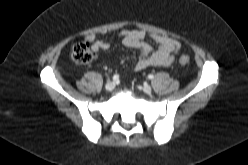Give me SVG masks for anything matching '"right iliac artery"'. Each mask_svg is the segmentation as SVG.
I'll list each match as a JSON object with an SVG mask.
<instances>
[{"mask_svg": "<svg viewBox=\"0 0 248 165\" xmlns=\"http://www.w3.org/2000/svg\"><path fill=\"white\" fill-rule=\"evenodd\" d=\"M113 81H118L119 80V75L115 74L113 77H112Z\"/></svg>", "mask_w": 248, "mask_h": 165, "instance_id": "right-iliac-artery-1", "label": "right iliac artery"}]
</instances>
